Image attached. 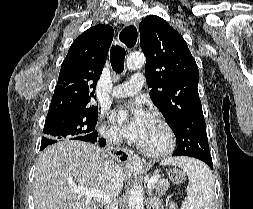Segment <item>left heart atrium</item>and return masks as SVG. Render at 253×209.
Returning a JSON list of instances; mask_svg holds the SVG:
<instances>
[{
	"label": "left heart atrium",
	"mask_w": 253,
	"mask_h": 209,
	"mask_svg": "<svg viewBox=\"0 0 253 209\" xmlns=\"http://www.w3.org/2000/svg\"><path fill=\"white\" fill-rule=\"evenodd\" d=\"M152 119V115L140 103L120 107L111 115V120L122 135L136 143L143 138Z\"/></svg>",
	"instance_id": "obj_1"
}]
</instances>
